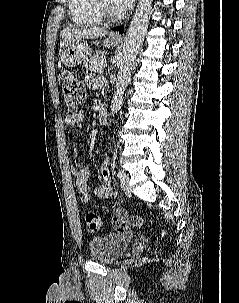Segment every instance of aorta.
<instances>
[{"mask_svg":"<svg viewBox=\"0 0 239 303\" xmlns=\"http://www.w3.org/2000/svg\"><path fill=\"white\" fill-rule=\"evenodd\" d=\"M152 1L153 0L138 1L136 11L127 30L122 54L119 59L117 82L111 104V111L113 113H117L123 104V94L130 82L136 55L140 50L147 32Z\"/></svg>","mask_w":239,"mask_h":303,"instance_id":"762f6f07","label":"aorta"}]
</instances>
